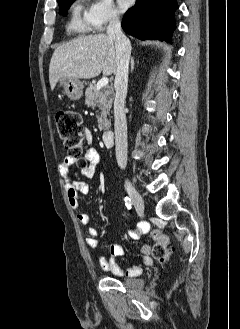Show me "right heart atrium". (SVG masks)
I'll list each match as a JSON object with an SVG mask.
<instances>
[{
  "mask_svg": "<svg viewBox=\"0 0 240 329\" xmlns=\"http://www.w3.org/2000/svg\"><path fill=\"white\" fill-rule=\"evenodd\" d=\"M90 27L96 32H103L109 25L119 21V16L111 0H93L86 10Z\"/></svg>",
  "mask_w": 240,
  "mask_h": 329,
  "instance_id": "obj_1",
  "label": "right heart atrium"
}]
</instances>
